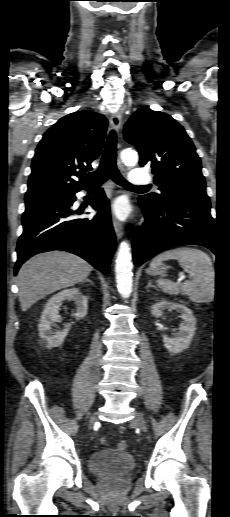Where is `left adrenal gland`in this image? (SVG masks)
Returning <instances> with one entry per match:
<instances>
[{
  "instance_id": "left-adrenal-gland-1",
  "label": "left adrenal gland",
  "mask_w": 230,
  "mask_h": 517,
  "mask_svg": "<svg viewBox=\"0 0 230 517\" xmlns=\"http://www.w3.org/2000/svg\"><path fill=\"white\" fill-rule=\"evenodd\" d=\"M150 287H154L152 283L149 281L148 285L146 286V289H149Z\"/></svg>"
}]
</instances>
